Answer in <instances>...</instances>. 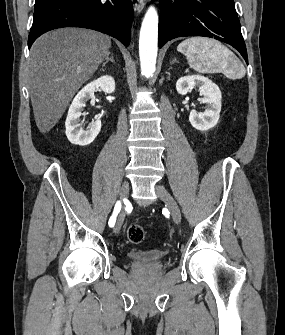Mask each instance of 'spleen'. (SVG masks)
Returning <instances> with one entry per match:
<instances>
[{"instance_id":"3e777b00","label":"spleen","mask_w":285,"mask_h":335,"mask_svg":"<svg viewBox=\"0 0 285 335\" xmlns=\"http://www.w3.org/2000/svg\"><path fill=\"white\" fill-rule=\"evenodd\" d=\"M177 52L184 54L190 68L199 74H210L225 68H236L240 78L246 74L233 52L212 38H188L179 44Z\"/></svg>"}]
</instances>
